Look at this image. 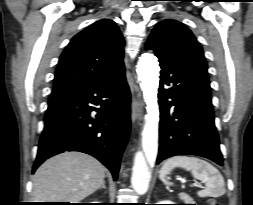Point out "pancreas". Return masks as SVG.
<instances>
[{
  "instance_id": "pancreas-1",
  "label": "pancreas",
  "mask_w": 253,
  "mask_h": 205,
  "mask_svg": "<svg viewBox=\"0 0 253 205\" xmlns=\"http://www.w3.org/2000/svg\"><path fill=\"white\" fill-rule=\"evenodd\" d=\"M179 198L184 200L185 203H191L193 201L192 198L184 192L179 193Z\"/></svg>"
}]
</instances>
